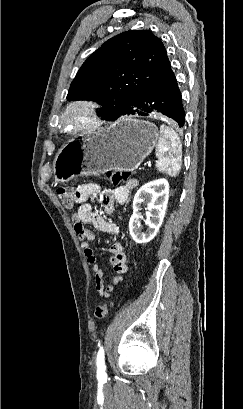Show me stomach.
<instances>
[{
    "mask_svg": "<svg viewBox=\"0 0 243 409\" xmlns=\"http://www.w3.org/2000/svg\"><path fill=\"white\" fill-rule=\"evenodd\" d=\"M159 139L155 124L123 117L107 129L70 140L57 153L54 178L65 182L76 176L133 171L152 152Z\"/></svg>",
    "mask_w": 243,
    "mask_h": 409,
    "instance_id": "obj_1",
    "label": "stomach"
}]
</instances>
